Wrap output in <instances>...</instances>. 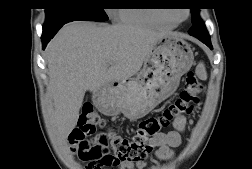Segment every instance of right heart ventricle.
Returning a JSON list of instances; mask_svg holds the SVG:
<instances>
[{
    "label": "right heart ventricle",
    "instance_id": "e07e8e85",
    "mask_svg": "<svg viewBox=\"0 0 252 169\" xmlns=\"http://www.w3.org/2000/svg\"><path fill=\"white\" fill-rule=\"evenodd\" d=\"M115 15L120 23L150 27L162 30L174 28L175 24L166 21L159 15L144 9L119 8Z\"/></svg>",
    "mask_w": 252,
    "mask_h": 169
}]
</instances>
